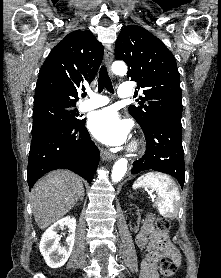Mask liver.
<instances>
[{
    "instance_id": "liver-1",
    "label": "liver",
    "mask_w": 221,
    "mask_h": 278,
    "mask_svg": "<svg viewBox=\"0 0 221 278\" xmlns=\"http://www.w3.org/2000/svg\"><path fill=\"white\" fill-rule=\"evenodd\" d=\"M84 191L82 180L67 170H55L42 177L31 191L35 222L45 229L66 215Z\"/></svg>"
}]
</instances>
